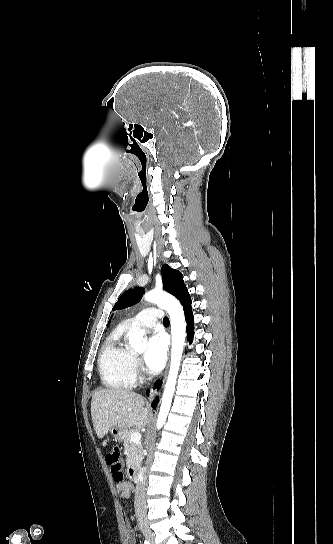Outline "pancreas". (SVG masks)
<instances>
[{"mask_svg":"<svg viewBox=\"0 0 333 544\" xmlns=\"http://www.w3.org/2000/svg\"><path fill=\"white\" fill-rule=\"evenodd\" d=\"M134 432L135 430H128L123 437L127 466L138 464L142 457V444L131 441V434Z\"/></svg>","mask_w":333,"mask_h":544,"instance_id":"pancreas-1","label":"pancreas"}]
</instances>
